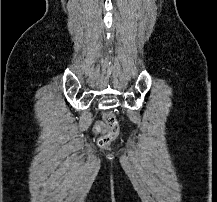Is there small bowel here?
Returning <instances> with one entry per match:
<instances>
[{
    "label": "small bowel",
    "mask_w": 217,
    "mask_h": 202,
    "mask_svg": "<svg viewBox=\"0 0 217 202\" xmlns=\"http://www.w3.org/2000/svg\"><path fill=\"white\" fill-rule=\"evenodd\" d=\"M93 131L95 134H105L106 133V127L103 122L98 121L95 123L93 127Z\"/></svg>",
    "instance_id": "1"
}]
</instances>
